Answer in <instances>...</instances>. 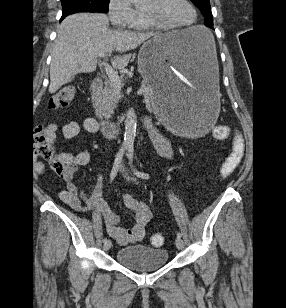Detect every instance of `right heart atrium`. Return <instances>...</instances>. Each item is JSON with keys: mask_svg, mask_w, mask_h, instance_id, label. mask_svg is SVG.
Wrapping results in <instances>:
<instances>
[{"mask_svg": "<svg viewBox=\"0 0 286 308\" xmlns=\"http://www.w3.org/2000/svg\"><path fill=\"white\" fill-rule=\"evenodd\" d=\"M107 9L110 22L116 28L134 29L142 16L129 0H108Z\"/></svg>", "mask_w": 286, "mask_h": 308, "instance_id": "d8ad5b80", "label": "right heart atrium"}]
</instances>
